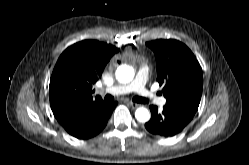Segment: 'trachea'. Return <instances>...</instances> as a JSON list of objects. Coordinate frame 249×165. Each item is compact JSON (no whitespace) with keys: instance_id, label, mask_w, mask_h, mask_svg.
Instances as JSON below:
<instances>
[{"instance_id":"trachea-1","label":"trachea","mask_w":249,"mask_h":165,"mask_svg":"<svg viewBox=\"0 0 249 165\" xmlns=\"http://www.w3.org/2000/svg\"><path fill=\"white\" fill-rule=\"evenodd\" d=\"M104 99L107 102H112L114 100V97L111 96V95H106L104 97ZM133 101H136L138 103H143V104L148 103V101L146 99L142 98V97H135V98H133Z\"/></svg>"}]
</instances>
